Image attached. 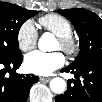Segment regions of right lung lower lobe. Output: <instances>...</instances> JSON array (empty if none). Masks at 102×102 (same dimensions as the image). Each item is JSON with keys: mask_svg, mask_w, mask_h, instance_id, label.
Masks as SVG:
<instances>
[{"mask_svg": "<svg viewBox=\"0 0 102 102\" xmlns=\"http://www.w3.org/2000/svg\"><path fill=\"white\" fill-rule=\"evenodd\" d=\"M22 60V54L12 59H0V99L4 102H25L31 86L39 80L33 74L16 73Z\"/></svg>", "mask_w": 102, "mask_h": 102, "instance_id": "right-lung-lower-lobe-1", "label": "right lung lower lobe"}]
</instances>
